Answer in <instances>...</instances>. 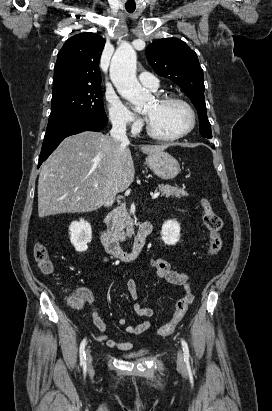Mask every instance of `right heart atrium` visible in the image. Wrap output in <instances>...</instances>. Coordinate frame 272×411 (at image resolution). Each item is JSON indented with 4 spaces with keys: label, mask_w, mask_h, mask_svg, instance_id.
Returning a JSON list of instances; mask_svg holds the SVG:
<instances>
[{
    "label": "right heart atrium",
    "mask_w": 272,
    "mask_h": 411,
    "mask_svg": "<svg viewBox=\"0 0 272 411\" xmlns=\"http://www.w3.org/2000/svg\"><path fill=\"white\" fill-rule=\"evenodd\" d=\"M108 116L112 125L119 129L136 130L139 121L133 113L115 96H106Z\"/></svg>",
    "instance_id": "right-heart-atrium-1"
}]
</instances>
